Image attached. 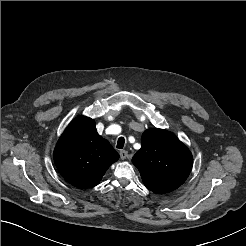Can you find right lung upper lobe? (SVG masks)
Listing matches in <instances>:
<instances>
[{
    "mask_svg": "<svg viewBox=\"0 0 246 246\" xmlns=\"http://www.w3.org/2000/svg\"><path fill=\"white\" fill-rule=\"evenodd\" d=\"M119 154L96 131L91 118L80 116L71 121L55 150V165L63 178L75 187L96 186Z\"/></svg>",
    "mask_w": 246,
    "mask_h": 246,
    "instance_id": "1",
    "label": "right lung upper lobe"
}]
</instances>
